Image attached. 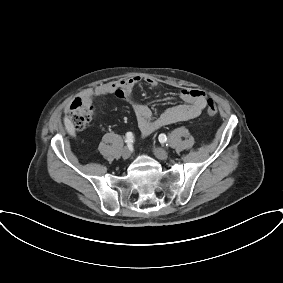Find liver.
<instances>
[{"instance_id": "liver-1", "label": "liver", "mask_w": 283, "mask_h": 283, "mask_svg": "<svg viewBox=\"0 0 283 283\" xmlns=\"http://www.w3.org/2000/svg\"><path fill=\"white\" fill-rule=\"evenodd\" d=\"M64 125H65L67 132L70 135L74 136L75 135L74 125L72 124V122L67 117L64 118Z\"/></svg>"}]
</instances>
